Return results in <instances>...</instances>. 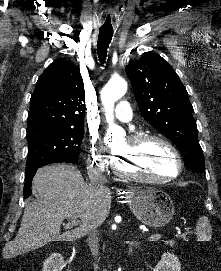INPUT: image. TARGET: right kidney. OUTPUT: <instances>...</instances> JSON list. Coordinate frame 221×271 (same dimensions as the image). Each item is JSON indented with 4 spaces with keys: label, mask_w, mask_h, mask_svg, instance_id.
<instances>
[{
    "label": "right kidney",
    "mask_w": 221,
    "mask_h": 271,
    "mask_svg": "<svg viewBox=\"0 0 221 271\" xmlns=\"http://www.w3.org/2000/svg\"><path fill=\"white\" fill-rule=\"evenodd\" d=\"M62 265H66L63 255L51 253L47 259H44L42 271H60ZM68 271H71V269H68Z\"/></svg>",
    "instance_id": "ca27d5eb"
}]
</instances>
